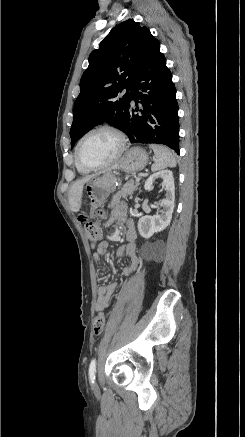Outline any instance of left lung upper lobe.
Returning a JSON list of instances; mask_svg holds the SVG:
<instances>
[{
    "label": "left lung upper lobe",
    "mask_w": 245,
    "mask_h": 437,
    "mask_svg": "<svg viewBox=\"0 0 245 437\" xmlns=\"http://www.w3.org/2000/svg\"><path fill=\"white\" fill-rule=\"evenodd\" d=\"M158 45L149 29L129 19L115 26L99 49L92 51L74 105L71 147L103 122L125 131L131 107L129 91L152 49ZM124 89L125 95L116 100Z\"/></svg>",
    "instance_id": "obj_1"
}]
</instances>
